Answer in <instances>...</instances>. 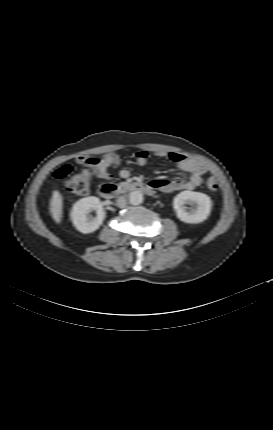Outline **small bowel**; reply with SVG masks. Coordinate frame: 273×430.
I'll return each mask as SVG.
<instances>
[{
    "label": "small bowel",
    "instance_id": "c3829d8e",
    "mask_svg": "<svg viewBox=\"0 0 273 430\" xmlns=\"http://www.w3.org/2000/svg\"><path fill=\"white\" fill-rule=\"evenodd\" d=\"M151 156L167 158L175 162L179 169L190 174L189 178L186 180L169 181L165 179H157L151 182L155 189L165 193H171L179 190H193L201 184L202 177L206 173V168L204 165L177 152H151L148 150H141L136 154V163L140 166H143L147 163ZM78 161L84 162L92 169L93 173L97 177L105 180L111 178L110 168L120 166L121 164L120 157L113 152L104 154L100 158L79 157ZM119 175L122 178H128L130 176V171L125 168L121 169L119 171Z\"/></svg>",
    "mask_w": 273,
    "mask_h": 430
}]
</instances>
